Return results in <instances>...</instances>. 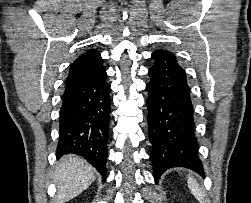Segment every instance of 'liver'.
Masks as SVG:
<instances>
[{"label": "liver", "mask_w": 251, "mask_h": 203, "mask_svg": "<svg viewBox=\"0 0 251 203\" xmlns=\"http://www.w3.org/2000/svg\"><path fill=\"white\" fill-rule=\"evenodd\" d=\"M95 172L91 165L76 155L61 158L53 175L57 184L56 203H64L75 198L86 190L95 180Z\"/></svg>", "instance_id": "6515ba94"}]
</instances>
